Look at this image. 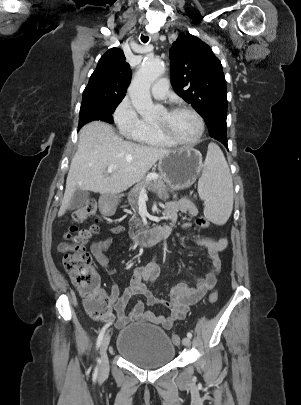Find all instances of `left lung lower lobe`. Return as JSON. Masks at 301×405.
Wrapping results in <instances>:
<instances>
[{
  "mask_svg": "<svg viewBox=\"0 0 301 405\" xmlns=\"http://www.w3.org/2000/svg\"><path fill=\"white\" fill-rule=\"evenodd\" d=\"M216 140L220 141L226 148H228V146H227V137L219 136L218 139H216Z\"/></svg>",
  "mask_w": 301,
  "mask_h": 405,
  "instance_id": "1",
  "label": "left lung lower lobe"
}]
</instances>
